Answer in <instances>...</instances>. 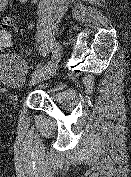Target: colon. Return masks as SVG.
<instances>
[{
    "label": "colon",
    "instance_id": "colon-1",
    "mask_svg": "<svg viewBox=\"0 0 131 177\" xmlns=\"http://www.w3.org/2000/svg\"><path fill=\"white\" fill-rule=\"evenodd\" d=\"M11 33L9 31V22L6 19L0 21V51L11 45Z\"/></svg>",
    "mask_w": 131,
    "mask_h": 177
}]
</instances>
